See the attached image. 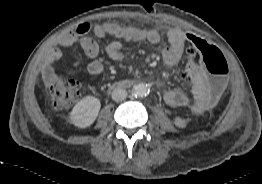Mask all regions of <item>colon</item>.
Listing matches in <instances>:
<instances>
[{
	"label": "colon",
	"mask_w": 262,
	"mask_h": 184,
	"mask_svg": "<svg viewBox=\"0 0 262 184\" xmlns=\"http://www.w3.org/2000/svg\"><path fill=\"white\" fill-rule=\"evenodd\" d=\"M198 61L208 73L207 88L211 104H217L226 89L228 64L222 52L214 45L200 38L193 40ZM50 104L54 109L71 106L79 97L80 84L77 80L56 76L49 85Z\"/></svg>",
	"instance_id": "1"
}]
</instances>
